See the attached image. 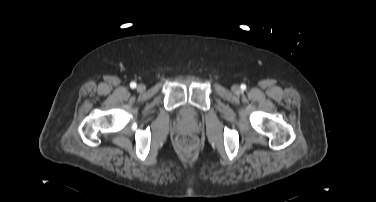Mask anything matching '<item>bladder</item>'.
Here are the masks:
<instances>
[{
  "label": "bladder",
  "instance_id": "1",
  "mask_svg": "<svg viewBox=\"0 0 376 202\" xmlns=\"http://www.w3.org/2000/svg\"><path fill=\"white\" fill-rule=\"evenodd\" d=\"M182 115L186 118H192V117H194V112H193L192 109L187 107V108L183 109Z\"/></svg>",
  "mask_w": 376,
  "mask_h": 202
}]
</instances>
